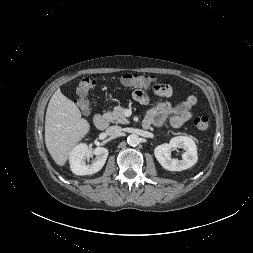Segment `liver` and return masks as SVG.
<instances>
[{"label":"liver","instance_id":"1","mask_svg":"<svg viewBox=\"0 0 253 253\" xmlns=\"http://www.w3.org/2000/svg\"><path fill=\"white\" fill-rule=\"evenodd\" d=\"M89 131L90 124L81 118L79 108L57 89L49 101L45 118V143L56 164L64 166L71 151Z\"/></svg>","mask_w":253,"mask_h":253}]
</instances>
